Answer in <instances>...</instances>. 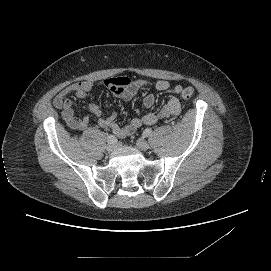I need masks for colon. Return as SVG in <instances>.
Instances as JSON below:
<instances>
[{
	"label": "colon",
	"mask_w": 271,
	"mask_h": 271,
	"mask_svg": "<svg viewBox=\"0 0 271 271\" xmlns=\"http://www.w3.org/2000/svg\"><path fill=\"white\" fill-rule=\"evenodd\" d=\"M195 91L192 87H186L183 89L182 93H181V96L184 98V99H189L191 98L193 95H194Z\"/></svg>",
	"instance_id": "5ec220e1"
}]
</instances>
